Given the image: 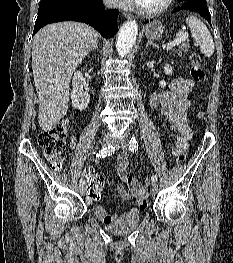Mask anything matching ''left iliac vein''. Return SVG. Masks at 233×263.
I'll return each mask as SVG.
<instances>
[{
	"instance_id": "4c4485c4",
	"label": "left iliac vein",
	"mask_w": 233,
	"mask_h": 263,
	"mask_svg": "<svg viewBox=\"0 0 233 263\" xmlns=\"http://www.w3.org/2000/svg\"><path fill=\"white\" fill-rule=\"evenodd\" d=\"M116 146L118 148L126 150L128 147L127 141L125 139H120L115 142ZM158 191V185L156 183H153L150 189V192L152 195H155Z\"/></svg>"
}]
</instances>
